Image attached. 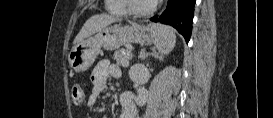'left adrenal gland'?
<instances>
[{
    "mask_svg": "<svg viewBox=\"0 0 273 118\" xmlns=\"http://www.w3.org/2000/svg\"><path fill=\"white\" fill-rule=\"evenodd\" d=\"M150 55L154 56L155 58H161V56H159V54L156 53L155 50H153L152 53H146L145 49H142V50L140 51L139 58H140L141 60H145V59H146L148 56H150Z\"/></svg>",
    "mask_w": 273,
    "mask_h": 118,
    "instance_id": "a2214340",
    "label": "left adrenal gland"
}]
</instances>
